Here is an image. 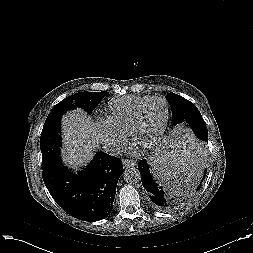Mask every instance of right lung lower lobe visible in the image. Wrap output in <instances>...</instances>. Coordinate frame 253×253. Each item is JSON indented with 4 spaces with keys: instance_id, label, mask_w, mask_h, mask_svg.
<instances>
[{
    "instance_id": "1",
    "label": "right lung lower lobe",
    "mask_w": 253,
    "mask_h": 253,
    "mask_svg": "<svg viewBox=\"0 0 253 253\" xmlns=\"http://www.w3.org/2000/svg\"><path fill=\"white\" fill-rule=\"evenodd\" d=\"M123 172L122 161L104 152H98L78 174L64 167L60 158L42 163L43 180L53 199L66 213L83 221H98L111 213Z\"/></svg>"
}]
</instances>
